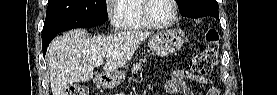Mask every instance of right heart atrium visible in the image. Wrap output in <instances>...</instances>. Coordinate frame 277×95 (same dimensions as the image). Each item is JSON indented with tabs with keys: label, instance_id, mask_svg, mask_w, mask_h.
I'll use <instances>...</instances> for the list:
<instances>
[{
	"label": "right heart atrium",
	"instance_id": "right-heart-atrium-1",
	"mask_svg": "<svg viewBox=\"0 0 277 95\" xmlns=\"http://www.w3.org/2000/svg\"><path fill=\"white\" fill-rule=\"evenodd\" d=\"M106 11H107V16H108V20H109L110 24L113 27H117V14H116V12L110 7H107Z\"/></svg>",
	"mask_w": 277,
	"mask_h": 95
}]
</instances>
